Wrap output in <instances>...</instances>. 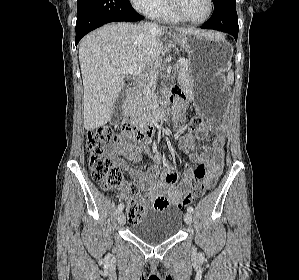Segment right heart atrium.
Masks as SVG:
<instances>
[{
  "mask_svg": "<svg viewBox=\"0 0 299 280\" xmlns=\"http://www.w3.org/2000/svg\"><path fill=\"white\" fill-rule=\"evenodd\" d=\"M131 5L139 12L150 15L159 0H129Z\"/></svg>",
  "mask_w": 299,
  "mask_h": 280,
  "instance_id": "1",
  "label": "right heart atrium"
}]
</instances>
